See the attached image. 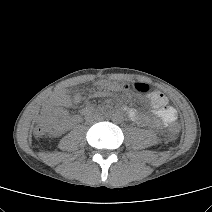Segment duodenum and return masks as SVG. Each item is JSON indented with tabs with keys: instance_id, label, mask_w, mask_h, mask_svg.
Returning a JSON list of instances; mask_svg holds the SVG:
<instances>
[{
	"instance_id": "obj_1",
	"label": "duodenum",
	"mask_w": 212,
	"mask_h": 212,
	"mask_svg": "<svg viewBox=\"0 0 212 212\" xmlns=\"http://www.w3.org/2000/svg\"><path fill=\"white\" fill-rule=\"evenodd\" d=\"M91 110L89 108L84 109V113H89Z\"/></svg>"
}]
</instances>
